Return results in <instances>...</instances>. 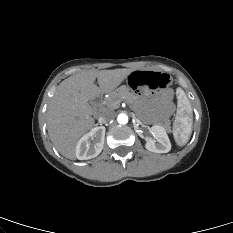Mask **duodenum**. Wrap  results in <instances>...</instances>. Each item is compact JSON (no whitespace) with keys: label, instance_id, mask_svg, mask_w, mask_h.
Wrapping results in <instances>:
<instances>
[{"label":"duodenum","instance_id":"410a0bca","mask_svg":"<svg viewBox=\"0 0 233 233\" xmlns=\"http://www.w3.org/2000/svg\"><path fill=\"white\" fill-rule=\"evenodd\" d=\"M93 102H94L95 105H98V103H99V97L96 96V97L93 99Z\"/></svg>","mask_w":233,"mask_h":233}]
</instances>
